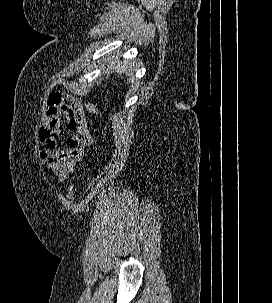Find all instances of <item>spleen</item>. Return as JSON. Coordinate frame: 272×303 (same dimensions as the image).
<instances>
[{"label": "spleen", "mask_w": 272, "mask_h": 303, "mask_svg": "<svg viewBox=\"0 0 272 303\" xmlns=\"http://www.w3.org/2000/svg\"><path fill=\"white\" fill-rule=\"evenodd\" d=\"M129 70H130L129 62H125L121 67H119L120 73H123L125 75H127L129 73Z\"/></svg>", "instance_id": "1"}]
</instances>
